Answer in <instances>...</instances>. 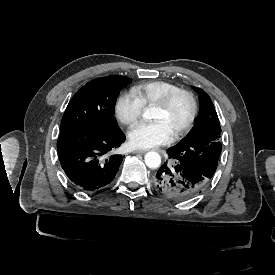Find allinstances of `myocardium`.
Segmentation results:
<instances>
[{
  "label": "myocardium",
  "mask_w": 275,
  "mask_h": 275,
  "mask_svg": "<svg viewBox=\"0 0 275 275\" xmlns=\"http://www.w3.org/2000/svg\"><path fill=\"white\" fill-rule=\"evenodd\" d=\"M180 95L188 99L190 104V115L184 126L172 135L171 140L180 139L181 137L189 133L192 129L198 114V104L196 98L190 91L186 89L176 88L175 90L169 92L165 97H163L160 101L153 105L154 107L160 109H167L172 104V102Z\"/></svg>",
  "instance_id": "myocardium-1"
}]
</instances>
